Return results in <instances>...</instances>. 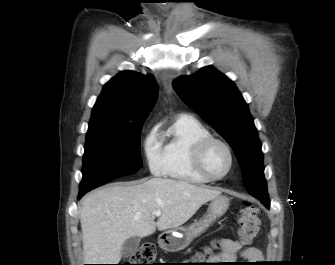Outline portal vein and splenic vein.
I'll return each instance as SVG.
<instances>
[{
	"mask_svg": "<svg viewBox=\"0 0 335 265\" xmlns=\"http://www.w3.org/2000/svg\"><path fill=\"white\" fill-rule=\"evenodd\" d=\"M153 215L159 217L161 215V211L160 210L154 211Z\"/></svg>",
	"mask_w": 335,
	"mask_h": 265,
	"instance_id": "portal-vein-and-splenic-vein-1",
	"label": "portal vein and splenic vein"
}]
</instances>
